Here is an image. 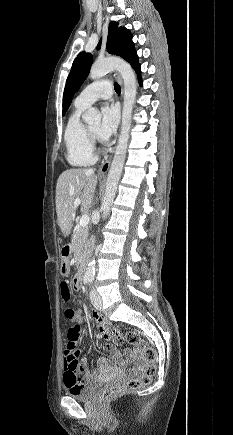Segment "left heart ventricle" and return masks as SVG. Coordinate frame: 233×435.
Returning <instances> with one entry per match:
<instances>
[{
  "label": "left heart ventricle",
  "instance_id": "1",
  "mask_svg": "<svg viewBox=\"0 0 233 435\" xmlns=\"http://www.w3.org/2000/svg\"><path fill=\"white\" fill-rule=\"evenodd\" d=\"M88 126H89V128H90V129H91L95 134H98L99 129H100V124H99V122H96V123H93V124H89Z\"/></svg>",
  "mask_w": 233,
  "mask_h": 435
}]
</instances>
